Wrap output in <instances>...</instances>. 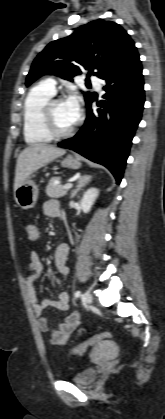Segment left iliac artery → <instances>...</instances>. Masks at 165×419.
<instances>
[{"label":"left iliac artery","mask_w":165,"mask_h":419,"mask_svg":"<svg viewBox=\"0 0 165 419\" xmlns=\"http://www.w3.org/2000/svg\"><path fill=\"white\" fill-rule=\"evenodd\" d=\"M80 296H81V291H79V290H78V291H76V292H75V297H76V298H78V297H80Z\"/></svg>","instance_id":"44dca946"}]
</instances>
